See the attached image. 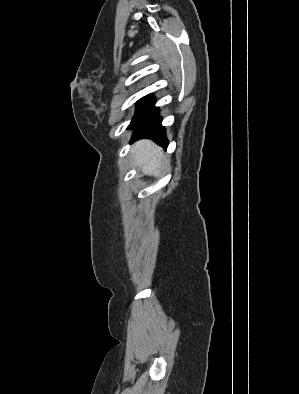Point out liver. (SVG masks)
Segmentation results:
<instances>
[{
	"mask_svg": "<svg viewBox=\"0 0 299 394\" xmlns=\"http://www.w3.org/2000/svg\"><path fill=\"white\" fill-rule=\"evenodd\" d=\"M131 154L135 165L146 175L158 176L163 166L164 156L162 149L150 140H140L136 142Z\"/></svg>",
	"mask_w": 299,
	"mask_h": 394,
	"instance_id": "1",
	"label": "liver"
}]
</instances>
